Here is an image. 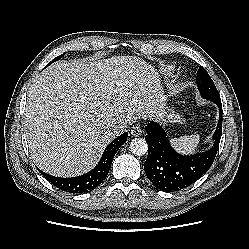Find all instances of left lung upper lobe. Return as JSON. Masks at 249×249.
<instances>
[{
  "instance_id": "5c2ea615",
  "label": "left lung upper lobe",
  "mask_w": 249,
  "mask_h": 249,
  "mask_svg": "<svg viewBox=\"0 0 249 249\" xmlns=\"http://www.w3.org/2000/svg\"><path fill=\"white\" fill-rule=\"evenodd\" d=\"M197 86L203 98L213 102H221L220 95L207 71L200 66L197 72Z\"/></svg>"
}]
</instances>
